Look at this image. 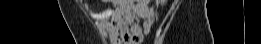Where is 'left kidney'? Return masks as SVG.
Listing matches in <instances>:
<instances>
[{
    "instance_id": "1",
    "label": "left kidney",
    "mask_w": 261,
    "mask_h": 44,
    "mask_svg": "<svg viewBox=\"0 0 261 44\" xmlns=\"http://www.w3.org/2000/svg\"><path fill=\"white\" fill-rule=\"evenodd\" d=\"M161 2L164 4L165 1H164V0H161Z\"/></svg>"
}]
</instances>
